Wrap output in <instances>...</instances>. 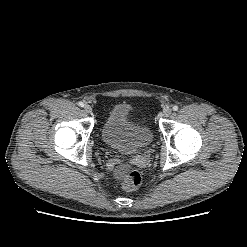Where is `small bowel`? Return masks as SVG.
I'll return each mask as SVG.
<instances>
[{
    "label": "small bowel",
    "instance_id": "c3829d8e",
    "mask_svg": "<svg viewBox=\"0 0 247 247\" xmlns=\"http://www.w3.org/2000/svg\"><path fill=\"white\" fill-rule=\"evenodd\" d=\"M124 171V168L123 167H118L116 170H115V174L116 176L120 177L122 175Z\"/></svg>",
    "mask_w": 247,
    "mask_h": 247
}]
</instances>
